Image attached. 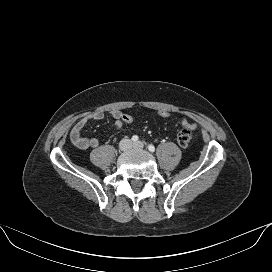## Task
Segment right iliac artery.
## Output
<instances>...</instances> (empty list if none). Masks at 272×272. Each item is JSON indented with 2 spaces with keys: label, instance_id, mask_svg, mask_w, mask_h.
<instances>
[{
  "label": "right iliac artery",
  "instance_id": "1",
  "mask_svg": "<svg viewBox=\"0 0 272 272\" xmlns=\"http://www.w3.org/2000/svg\"><path fill=\"white\" fill-rule=\"evenodd\" d=\"M138 139H139V138H138L137 135H133V136H132V141L136 142V141H138Z\"/></svg>",
  "mask_w": 272,
  "mask_h": 272
}]
</instances>
